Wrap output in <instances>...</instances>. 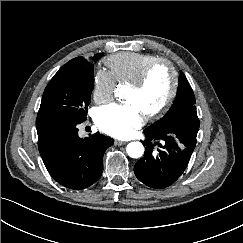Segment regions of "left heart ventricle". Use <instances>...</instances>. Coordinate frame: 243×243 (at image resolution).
I'll return each mask as SVG.
<instances>
[{
    "instance_id": "b2bd125f",
    "label": "left heart ventricle",
    "mask_w": 243,
    "mask_h": 243,
    "mask_svg": "<svg viewBox=\"0 0 243 243\" xmlns=\"http://www.w3.org/2000/svg\"><path fill=\"white\" fill-rule=\"evenodd\" d=\"M171 84V72L167 65L156 66L149 74L141 89L128 87L126 102L134 104L144 114L159 105L168 93Z\"/></svg>"
}]
</instances>
